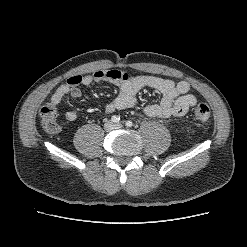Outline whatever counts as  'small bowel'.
Wrapping results in <instances>:
<instances>
[{"mask_svg":"<svg viewBox=\"0 0 247 247\" xmlns=\"http://www.w3.org/2000/svg\"><path fill=\"white\" fill-rule=\"evenodd\" d=\"M110 82L119 87L118 96L105 106L106 113L131 108L136 103V95L143 88H152L161 93L159 103L147 105L144 113L149 117L168 118L171 116H184L197 100L190 93V84L186 81L175 83L153 75H129L119 70L96 71L90 75H74L67 82L60 85L51 97L50 104L58 106L63 98H81L80 86H89L99 82ZM67 121L77 119L75 111H67L64 114ZM57 131L50 133H57Z\"/></svg>","mask_w":247,"mask_h":247,"instance_id":"small-bowel-1","label":"small bowel"}]
</instances>
